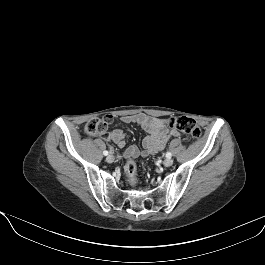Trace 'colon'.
<instances>
[{
  "mask_svg": "<svg viewBox=\"0 0 265 265\" xmlns=\"http://www.w3.org/2000/svg\"><path fill=\"white\" fill-rule=\"evenodd\" d=\"M112 122V116L107 115L103 118H96L90 120L85 126V132L88 135L106 134L108 133L109 126ZM167 124L192 138H199L201 136V129L196 121L186 116L172 117L167 121ZM137 164L134 159H129L125 165V173L128 181L132 186L137 183Z\"/></svg>",
  "mask_w": 265,
  "mask_h": 265,
  "instance_id": "1",
  "label": "colon"
}]
</instances>
